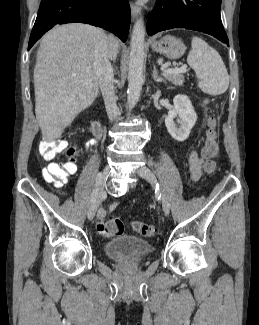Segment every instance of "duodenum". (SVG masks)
I'll return each mask as SVG.
<instances>
[{
  "label": "duodenum",
  "mask_w": 259,
  "mask_h": 325,
  "mask_svg": "<svg viewBox=\"0 0 259 325\" xmlns=\"http://www.w3.org/2000/svg\"><path fill=\"white\" fill-rule=\"evenodd\" d=\"M91 129H92L93 134L96 137H101L102 136V134H103V128H102L101 123L98 120L92 121V123H91Z\"/></svg>",
  "instance_id": "obj_1"
}]
</instances>
